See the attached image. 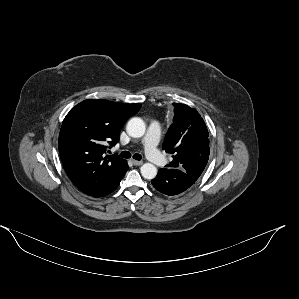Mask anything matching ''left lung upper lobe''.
Instances as JSON below:
<instances>
[{"label": "left lung upper lobe", "instance_id": "5c2ea615", "mask_svg": "<svg viewBox=\"0 0 299 299\" xmlns=\"http://www.w3.org/2000/svg\"><path fill=\"white\" fill-rule=\"evenodd\" d=\"M174 119L163 149L173 154L167 168H177L194 181L202 174L209 159V133L199 113L185 104H174Z\"/></svg>", "mask_w": 299, "mask_h": 299}]
</instances>
